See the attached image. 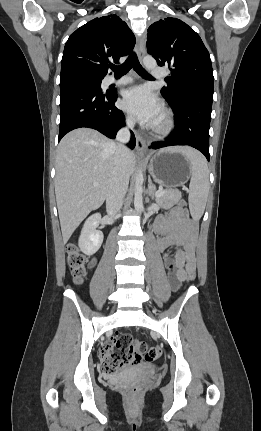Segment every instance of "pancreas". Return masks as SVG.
Segmentation results:
<instances>
[{
    "instance_id": "pancreas-1",
    "label": "pancreas",
    "mask_w": 261,
    "mask_h": 431,
    "mask_svg": "<svg viewBox=\"0 0 261 431\" xmlns=\"http://www.w3.org/2000/svg\"><path fill=\"white\" fill-rule=\"evenodd\" d=\"M181 192L174 189L165 190V192L156 198V203L163 209H169L181 200Z\"/></svg>"
}]
</instances>
